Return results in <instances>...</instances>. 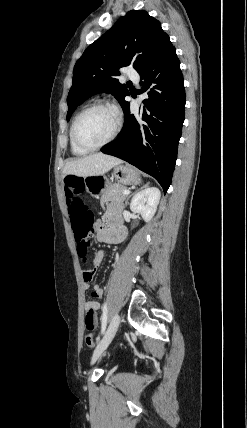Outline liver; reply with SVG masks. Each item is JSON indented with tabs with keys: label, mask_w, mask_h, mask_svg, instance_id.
Listing matches in <instances>:
<instances>
[{
	"label": "liver",
	"mask_w": 247,
	"mask_h": 428,
	"mask_svg": "<svg viewBox=\"0 0 247 428\" xmlns=\"http://www.w3.org/2000/svg\"><path fill=\"white\" fill-rule=\"evenodd\" d=\"M123 161L117 157L96 153L67 162L63 169V175H75L79 177L103 175Z\"/></svg>",
	"instance_id": "obj_1"
}]
</instances>
